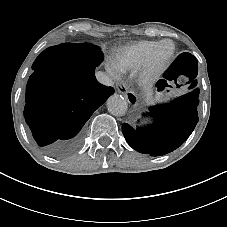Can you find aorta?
Instances as JSON below:
<instances>
[{"mask_svg": "<svg viewBox=\"0 0 227 227\" xmlns=\"http://www.w3.org/2000/svg\"><path fill=\"white\" fill-rule=\"evenodd\" d=\"M107 109L114 116H123L127 111V102L122 96L114 94L107 100Z\"/></svg>", "mask_w": 227, "mask_h": 227, "instance_id": "aorta-1", "label": "aorta"}]
</instances>
